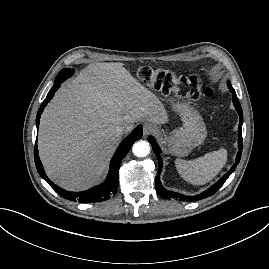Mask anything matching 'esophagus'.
<instances>
[{
    "instance_id": "1",
    "label": "esophagus",
    "mask_w": 269,
    "mask_h": 269,
    "mask_svg": "<svg viewBox=\"0 0 269 269\" xmlns=\"http://www.w3.org/2000/svg\"><path fill=\"white\" fill-rule=\"evenodd\" d=\"M156 131V126L151 123H145L143 125V134L144 136H147L151 133H154Z\"/></svg>"
}]
</instances>
